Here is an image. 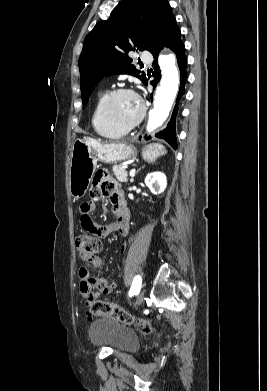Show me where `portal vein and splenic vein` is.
Returning a JSON list of instances; mask_svg holds the SVG:
<instances>
[{"instance_id":"obj_1","label":"portal vein and splenic vein","mask_w":267,"mask_h":391,"mask_svg":"<svg viewBox=\"0 0 267 391\" xmlns=\"http://www.w3.org/2000/svg\"><path fill=\"white\" fill-rule=\"evenodd\" d=\"M123 168H125V169H126V168H127V166H124Z\"/></svg>"}]
</instances>
